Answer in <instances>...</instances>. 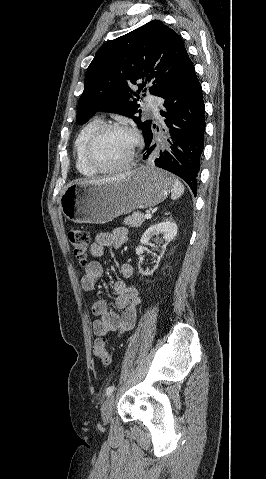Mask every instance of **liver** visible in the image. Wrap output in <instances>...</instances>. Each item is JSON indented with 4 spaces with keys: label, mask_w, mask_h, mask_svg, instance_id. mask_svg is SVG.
Returning a JSON list of instances; mask_svg holds the SVG:
<instances>
[{
    "label": "liver",
    "mask_w": 266,
    "mask_h": 479,
    "mask_svg": "<svg viewBox=\"0 0 266 479\" xmlns=\"http://www.w3.org/2000/svg\"><path fill=\"white\" fill-rule=\"evenodd\" d=\"M129 175H130V172L123 173V174H120V175H117V176H114V177L104 178V179L89 180V181H85L83 183H87V182L88 183H106V182H111V181H118V180L126 178Z\"/></svg>",
    "instance_id": "liver-1"
}]
</instances>
